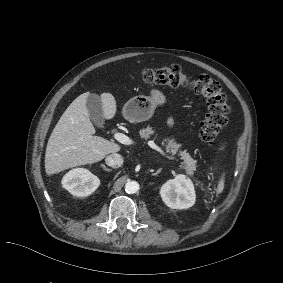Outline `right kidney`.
<instances>
[{
  "label": "right kidney",
  "instance_id": "obj_1",
  "mask_svg": "<svg viewBox=\"0 0 283 283\" xmlns=\"http://www.w3.org/2000/svg\"><path fill=\"white\" fill-rule=\"evenodd\" d=\"M99 185V178L84 168L70 170L62 179L63 188L78 197L90 195Z\"/></svg>",
  "mask_w": 283,
  "mask_h": 283
}]
</instances>
